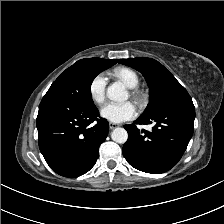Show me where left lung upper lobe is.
I'll list each match as a JSON object with an SVG mask.
<instances>
[{
  "instance_id": "obj_1",
  "label": "left lung upper lobe",
  "mask_w": 224,
  "mask_h": 224,
  "mask_svg": "<svg viewBox=\"0 0 224 224\" xmlns=\"http://www.w3.org/2000/svg\"><path fill=\"white\" fill-rule=\"evenodd\" d=\"M119 63L141 72L148 83L150 102L143 117H150L167 107L192 101L186 89L158 61L151 58H130L120 59Z\"/></svg>"
}]
</instances>
